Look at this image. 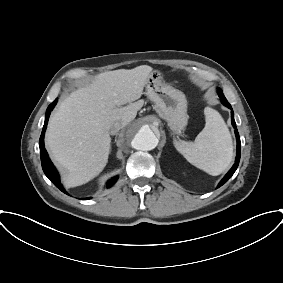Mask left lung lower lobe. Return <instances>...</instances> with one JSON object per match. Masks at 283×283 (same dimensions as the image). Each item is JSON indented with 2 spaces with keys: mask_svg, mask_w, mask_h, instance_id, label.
<instances>
[{
  "mask_svg": "<svg viewBox=\"0 0 283 283\" xmlns=\"http://www.w3.org/2000/svg\"><path fill=\"white\" fill-rule=\"evenodd\" d=\"M219 97H220V100L222 101V103L228 107L229 109H231V121H232V125L235 129V135H236V139H237V154H236V160H235V163L234 165L232 166V168L229 170V172L225 175V177L220 181V183L218 184L217 188H219L220 186H222L223 184H225L231 177L232 175L234 174V172L236 171L238 165H239V161H240V155H241V143H240V137H239V133L237 131V128H236V124H235V121H234V113H233V110H232V107L231 105L228 103L227 99L225 98L224 94L223 95H220L219 94Z\"/></svg>",
  "mask_w": 283,
  "mask_h": 283,
  "instance_id": "obj_1",
  "label": "left lung lower lobe"
}]
</instances>
